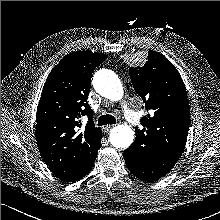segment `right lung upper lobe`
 Wrapping results in <instances>:
<instances>
[{
    "label": "right lung upper lobe",
    "instance_id": "cb5924a9",
    "mask_svg": "<svg viewBox=\"0 0 220 220\" xmlns=\"http://www.w3.org/2000/svg\"><path fill=\"white\" fill-rule=\"evenodd\" d=\"M107 55L76 51L50 72L37 108L36 139L50 170L62 181L78 179L96 157L102 132L94 126L87 98L91 75ZM88 116L83 131L80 118Z\"/></svg>",
    "mask_w": 220,
    "mask_h": 220
}]
</instances>
